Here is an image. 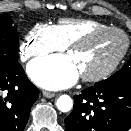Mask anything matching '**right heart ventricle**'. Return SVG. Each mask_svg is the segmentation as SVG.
<instances>
[{
    "label": "right heart ventricle",
    "instance_id": "obj_1",
    "mask_svg": "<svg viewBox=\"0 0 131 131\" xmlns=\"http://www.w3.org/2000/svg\"><path fill=\"white\" fill-rule=\"evenodd\" d=\"M53 27L60 42L66 47L81 35L91 30L108 27V25L94 19L64 18L60 19Z\"/></svg>",
    "mask_w": 131,
    "mask_h": 131
}]
</instances>
